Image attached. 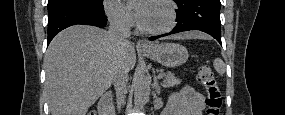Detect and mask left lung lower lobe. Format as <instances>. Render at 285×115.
<instances>
[{"label": "left lung lower lobe", "mask_w": 285, "mask_h": 115, "mask_svg": "<svg viewBox=\"0 0 285 115\" xmlns=\"http://www.w3.org/2000/svg\"><path fill=\"white\" fill-rule=\"evenodd\" d=\"M177 5L176 27L169 33L150 37L149 40L182 31L200 30L221 44L220 0H185Z\"/></svg>", "instance_id": "obj_1"}]
</instances>
